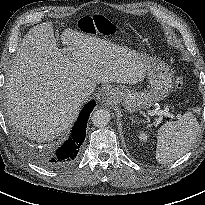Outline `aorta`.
<instances>
[{
    "label": "aorta",
    "instance_id": "aorta-1",
    "mask_svg": "<svg viewBox=\"0 0 205 205\" xmlns=\"http://www.w3.org/2000/svg\"><path fill=\"white\" fill-rule=\"evenodd\" d=\"M110 121V113L107 110L99 109L92 114V123L96 127H104Z\"/></svg>",
    "mask_w": 205,
    "mask_h": 205
}]
</instances>
